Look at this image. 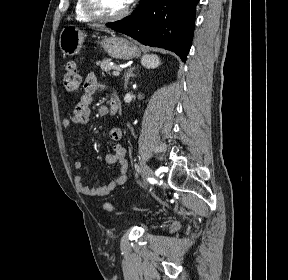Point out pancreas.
<instances>
[{"instance_id": "pancreas-1", "label": "pancreas", "mask_w": 288, "mask_h": 280, "mask_svg": "<svg viewBox=\"0 0 288 280\" xmlns=\"http://www.w3.org/2000/svg\"><path fill=\"white\" fill-rule=\"evenodd\" d=\"M96 64L99 65L105 72H109L111 69L119 67L117 64H114L111 59H104L102 61H98Z\"/></svg>"}]
</instances>
